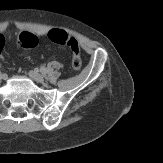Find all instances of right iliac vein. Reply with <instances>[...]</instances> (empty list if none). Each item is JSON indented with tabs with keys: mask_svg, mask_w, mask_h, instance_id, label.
Wrapping results in <instances>:
<instances>
[{
	"mask_svg": "<svg viewBox=\"0 0 163 163\" xmlns=\"http://www.w3.org/2000/svg\"><path fill=\"white\" fill-rule=\"evenodd\" d=\"M4 78H5V76L2 75V74H0V81H1L2 79H4Z\"/></svg>",
	"mask_w": 163,
	"mask_h": 163,
	"instance_id": "obj_1",
	"label": "right iliac vein"
}]
</instances>
